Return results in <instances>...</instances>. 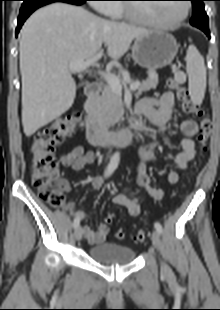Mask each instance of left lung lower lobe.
Wrapping results in <instances>:
<instances>
[{
	"mask_svg": "<svg viewBox=\"0 0 220 310\" xmlns=\"http://www.w3.org/2000/svg\"><path fill=\"white\" fill-rule=\"evenodd\" d=\"M207 36H208V38H210V32H209V30H202Z\"/></svg>",
	"mask_w": 220,
	"mask_h": 310,
	"instance_id": "left-lung-lower-lobe-1",
	"label": "left lung lower lobe"
}]
</instances>
